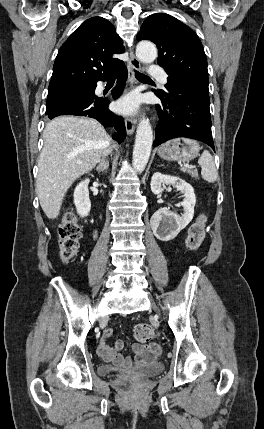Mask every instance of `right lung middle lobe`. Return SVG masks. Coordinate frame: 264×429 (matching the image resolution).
Returning <instances> with one entry per match:
<instances>
[{"mask_svg":"<svg viewBox=\"0 0 264 429\" xmlns=\"http://www.w3.org/2000/svg\"><path fill=\"white\" fill-rule=\"evenodd\" d=\"M94 87L92 84H74L64 85L48 89V96L46 102V110L52 108L59 102L78 95H95Z\"/></svg>","mask_w":264,"mask_h":429,"instance_id":"1","label":"right lung middle lobe"}]
</instances>
